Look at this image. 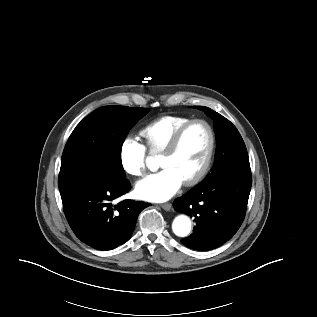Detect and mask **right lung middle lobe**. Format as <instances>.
<instances>
[{"label":"right lung middle lobe","instance_id":"1","mask_svg":"<svg viewBox=\"0 0 317 317\" xmlns=\"http://www.w3.org/2000/svg\"><path fill=\"white\" fill-rule=\"evenodd\" d=\"M150 109L104 106L85 117L74 129L64 148L59 174L62 191L82 175L109 168L125 175L122 144L129 130Z\"/></svg>","mask_w":317,"mask_h":317}]
</instances>
